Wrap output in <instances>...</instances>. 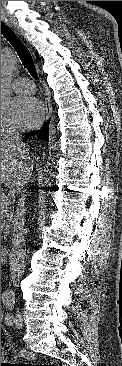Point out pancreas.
<instances>
[{
    "instance_id": "obj_1",
    "label": "pancreas",
    "mask_w": 122,
    "mask_h": 366,
    "mask_svg": "<svg viewBox=\"0 0 122 366\" xmlns=\"http://www.w3.org/2000/svg\"><path fill=\"white\" fill-rule=\"evenodd\" d=\"M3 196L4 200L1 199V240L6 238L10 227L8 222V206L10 205V199L5 192L1 191V197Z\"/></svg>"
}]
</instances>
